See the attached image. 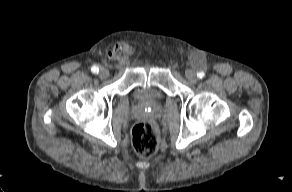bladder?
I'll return each mask as SVG.
<instances>
[{"label":"bladder","instance_id":"obj_1","mask_svg":"<svg viewBox=\"0 0 292 192\" xmlns=\"http://www.w3.org/2000/svg\"><path fill=\"white\" fill-rule=\"evenodd\" d=\"M132 95L137 101L145 104L161 101L165 97L163 92L155 87H136Z\"/></svg>","mask_w":292,"mask_h":192}]
</instances>
